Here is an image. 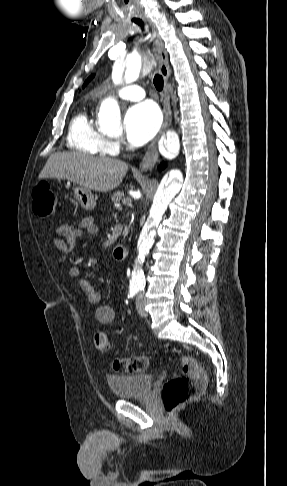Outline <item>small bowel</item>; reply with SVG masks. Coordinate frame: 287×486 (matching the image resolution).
I'll list each match as a JSON object with an SVG mask.
<instances>
[{
	"instance_id": "small-bowel-1",
	"label": "small bowel",
	"mask_w": 287,
	"mask_h": 486,
	"mask_svg": "<svg viewBox=\"0 0 287 486\" xmlns=\"http://www.w3.org/2000/svg\"><path fill=\"white\" fill-rule=\"evenodd\" d=\"M99 227L96 225L94 217H83L76 225H60L54 230L53 244L63 253H69L73 250L76 240L84 234L96 235ZM69 275L74 279L82 291L87 295L88 300L95 306V318L100 324H110L115 318L114 309L102 302L101 294L95 287L83 276L78 267H72Z\"/></svg>"
}]
</instances>
